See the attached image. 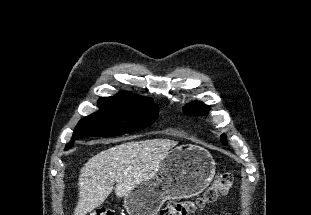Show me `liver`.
Instances as JSON below:
<instances>
[{
  "mask_svg": "<svg viewBox=\"0 0 311 215\" xmlns=\"http://www.w3.org/2000/svg\"><path fill=\"white\" fill-rule=\"evenodd\" d=\"M177 144V141L163 138L131 141L90 158L80 171L79 198L74 215H86L93 211L107 199L113 189L118 198L127 196Z\"/></svg>",
  "mask_w": 311,
  "mask_h": 215,
  "instance_id": "6515ba94",
  "label": "liver"
}]
</instances>
